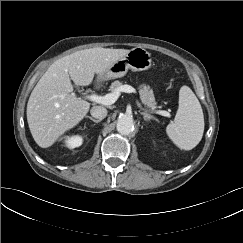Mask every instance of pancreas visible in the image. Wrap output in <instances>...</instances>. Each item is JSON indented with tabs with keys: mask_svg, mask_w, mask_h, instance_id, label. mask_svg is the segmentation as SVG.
I'll return each instance as SVG.
<instances>
[{
	"mask_svg": "<svg viewBox=\"0 0 243 243\" xmlns=\"http://www.w3.org/2000/svg\"><path fill=\"white\" fill-rule=\"evenodd\" d=\"M121 86H122V82L118 80L114 81L111 83L110 90L114 92ZM138 89H139V94L142 103L152 111L156 109L157 106H156L155 97L153 94V90L150 88V86L146 84H141L138 86Z\"/></svg>",
	"mask_w": 243,
	"mask_h": 243,
	"instance_id": "1",
	"label": "pancreas"
}]
</instances>
